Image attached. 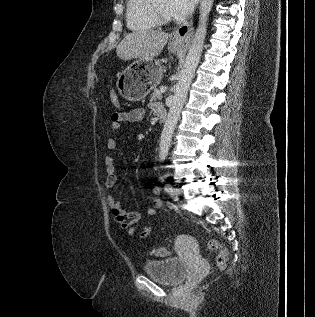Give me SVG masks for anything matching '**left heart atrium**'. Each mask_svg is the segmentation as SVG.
<instances>
[{"mask_svg":"<svg viewBox=\"0 0 315 317\" xmlns=\"http://www.w3.org/2000/svg\"><path fill=\"white\" fill-rule=\"evenodd\" d=\"M194 0H167L166 10L170 17L182 19L193 9Z\"/></svg>","mask_w":315,"mask_h":317,"instance_id":"obj_1","label":"left heart atrium"}]
</instances>
